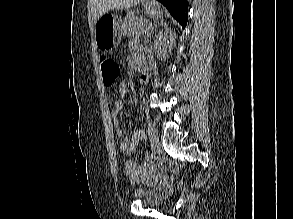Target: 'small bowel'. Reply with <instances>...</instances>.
Returning <instances> with one entry per match:
<instances>
[{
    "label": "small bowel",
    "mask_w": 293,
    "mask_h": 219,
    "mask_svg": "<svg viewBox=\"0 0 293 219\" xmlns=\"http://www.w3.org/2000/svg\"><path fill=\"white\" fill-rule=\"evenodd\" d=\"M135 59L136 62H140L141 58L139 55L136 53L135 54ZM126 87L124 84L121 85L120 92H121V98L116 99L115 101V109L113 111V122L116 130V134L119 137L123 136V131L120 127L119 124V119L118 115L124 108V101H123V96L125 94ZM145 139V133L141 129H135L133 132V135L131 138H124L123 141L120 144V149L121 151L126 154V155H131L133 154L138 145Z\"/></svg>",
    "instance_id": "1"
}]
</instances>
